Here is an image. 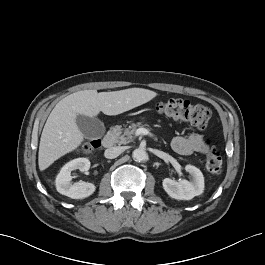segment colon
I'll use <instances>...</instances> for the list:
<instances>
[{
	"label": "colon",
	"mask_w": 265,
	"mask_h": 265,
	"mask_svg": "<svg viewBox=\"0 0 265 265\" xmlns=\"http://www.w3.org/2000/svg\"><path fill=\"white\" fill-rule=\"evenodd\" d=\"M157 111L167 117L182 120L197 128H204L211 119V110L203 105H194L181 99H170L160 102ZM98 140L90 141L87 145L88 151L99 147ZM206 168L211 174H218L222 168V158L218 148L209 143L206 157Z\"/></svg>",
	"instance_id": "1"
}]
</instances>
